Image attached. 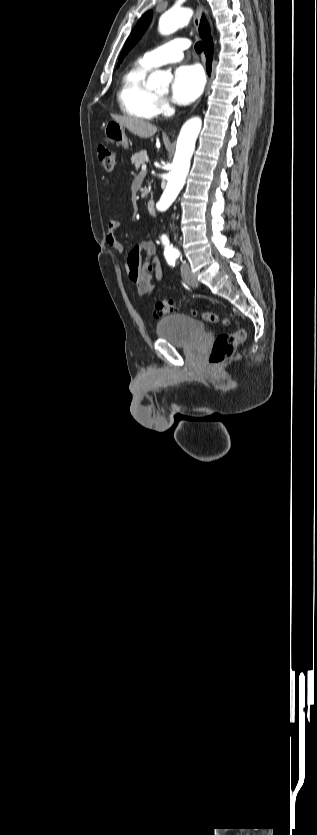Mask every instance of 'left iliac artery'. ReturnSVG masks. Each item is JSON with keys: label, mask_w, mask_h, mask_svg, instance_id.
Segmentation results:
<instances>
[{"label": "left iliac artery", "mask_w": 317, "mask_h": 835, "mask_svg": "<svg viewBox=\"0 0 317 835\" xmlns=\"http://www.w3.org/2000/svg\"><path fill=\"white\" fill-rule=\"evenodd\" d=\"M179 255H180V253L177 251V252L175 253L174 257H178Z\"/></svg>", "instance_id": "obj_1"}]
</instances>
